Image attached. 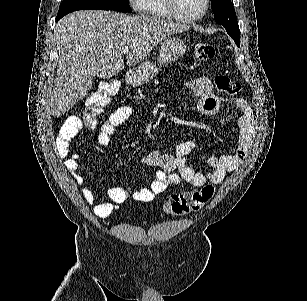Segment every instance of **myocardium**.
<instances>
[{
	"instance_id": "f54148a6",
	"label": "myocardium",
	"mask_w": 307,
	"mask_h": 301,
	"mask_svg": "<svg viewBox=\"0 0 307 301\" xmlns=\"http://www.w3.org/2000/svg\"><path fill=\"white\" fill-rule=\"evenodd\" d=\"M164 10L168 16L171 17L173 22H198L199 17H204L207 11V0H202L201 10L199 11H175L173 4L174 0H164Z\"/></svg>"
}]
</instances>
